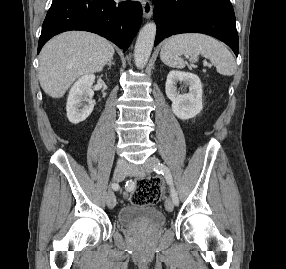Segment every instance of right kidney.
Here are the masks:
<instances>
[{
  "label": "right kidney",
  "mask_w": 286,
  "mask_h": 269,
  "mask_svg": "<svg viewBox=\"0 0 286 269\" xmlns=\"http://www.w3.org/2000/svg\"><path fill=\"white\" fill-rule=\"evenodd\" d=\"M95 76L84 75L71 87L67 99V118L72 124L83 122L93 111L95 101L92 100L94 91L92 85Z\"/></svg>",
  "instance_id": "obj_1"
}]
</instances>
